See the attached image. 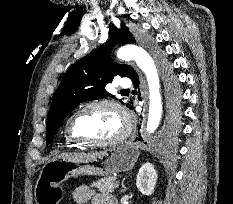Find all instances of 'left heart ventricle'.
I'll use <instances>...</instances> for the list:
<instances>
[{
  "label": "left heart ventricle",
  "mask_w": 233,
  "mask_h": 204,
  "mask_svg": "<svg viewBox=\"0 0 233 204\" xmlns=\"http://www.w3.org/2000/svg\"><path fill=\"white\" fill-rule=\"evenodd\" d=\"M123 122L116 110L101 106L90 108L76 117L73 130L76 135L94 141H106L118 135Z\"/></svg>",
  "instance_id": "obj_1"
}]
</instances>
